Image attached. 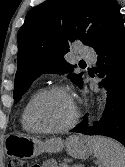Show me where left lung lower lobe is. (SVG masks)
<instances>
[{
    "label": "left lung lower lobe",
    "instance_id": "0a47b994",
    "mask_svg": "<svg viewBox=\"0 0 125 167\" xmlns=\"http://www.w3.org/2000/svg\"><path fill=\"white\" fill-rule=\"evenodd\" d=\"M94 49L98 54L97 72L103 78L100 85L107 89L106 107L93 127H88L85 118L71 132L108 136L125 146V28L121 15Z\"/></svg>",
    "mask_w": 125,
    "mask_h": 167
}]
</instances>
